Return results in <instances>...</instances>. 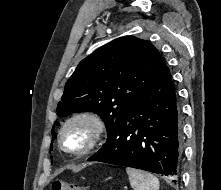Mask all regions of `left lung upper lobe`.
<instances>
[{
    "mask_svg": "<svg viewBox=\"0 0 221 190\" xmlns=\"http://www.w3.org/2000/svg\"><path fill=\"white\" fill-rule=\"evenodd\" d=\"M166 64L148 41L117 38L82 60L66 82L57 115L93 111L111 128L137 103Z\"/></svg>",
    "mask_w": 221,
    "mask_h": 190,
    "instance_id": "left-lung-upper-lobe-1",
    "label": "left lung upper lobe"
}]
</instances>
